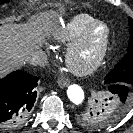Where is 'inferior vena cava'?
<instances>
[{"instance_id": "602c4592", "label": "inferior vena cava", "mask_w": 133, "mask_h": 133, "mask_svg": "<svg viewBox=\"0 0 133 133\" xmlns=\"http://www.w3.org/2000/svg\"><path fill=\"white\" fill-rule=\"evenodd\" d=\"M28 62L35 66L44 67L48 63V58L43 51H33L28 57Z\"/></svg>"}]
</instances>
